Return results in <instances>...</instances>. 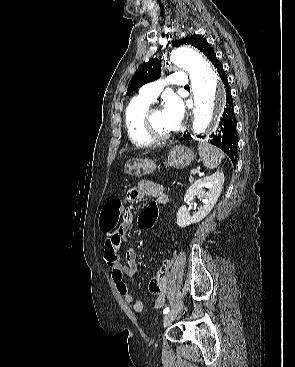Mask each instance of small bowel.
I'll return each mask as SVG.
<instances>
[{"label":"small bowel","instance_id":"obj_1","mask_svg":"<svg viewBox=\"0 0 295 367\" xmlns=\"http://www.w3.org/2000/svg\"><path fill=\"white\" fill-rule=\"evenodd\" d=\"M149 195L156 196V202L158 204L165 203L167 200L162 186L150 180L140 181L136 187L128 192L127 199L129 202L135 203ZM135 214V208H125L123 222L112 230L104 231L107 234L104 244V261L110 267L111 277L118 292L123 296L124 301L130 304L136 312H141L143 310V303L132 296L124 281V277L134 278L138 274L137 252L133 246H130L125 254L124 260L121 259L119 254L121 242L125 239ZM170 267V261L163 259L155 276L150 280V290L158 295L154 303V308L156 309L161 308L165 304L167 278Z\"/></svg>","mask_w":295,"mask_h":367}]
</instances>
